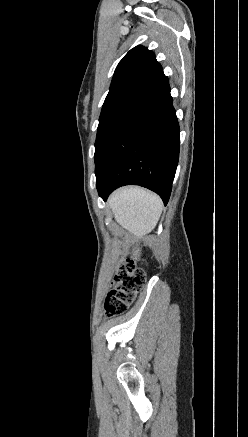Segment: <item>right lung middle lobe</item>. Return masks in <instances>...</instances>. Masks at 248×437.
Segmentation results:
<instances>
[{
  "mask_svg": "<svg viewBox=\"0 0 248 437\" xmlns=\"http://www.w3.org/2000/svg\"><path fill=\"white\" fill-rule=\"evenodd\" d=\"M139 94V92L126 93L103 104L95 142V164Z\"/></svg>",
  "mask_w": 248,
  "mask_h": 437,
  "instance_id": "dd1d6c3e",
  "label": "right lung middle lobe"
}]
</instances>
